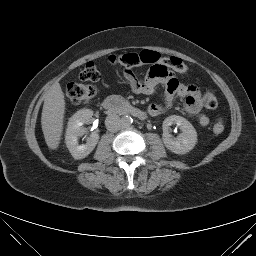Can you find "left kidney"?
<instances>
[{
    "label": "left kidney",
    "instance_id": "obj_1",
    "mask_svg": "<svg viewBox=\"0 0 256 256\" xmlns=\"http://www.w3.org/2000/svg\"><path fill=\"white\" fill-rule=\"evenodd\" d=\"M177 125L182 133L173 138L170 135V126ZM163 142L167 149L175 154H186L191 151L197 142V132L193 125L181 116L172 115L163 121Z\"/></svg>",
    "mask_w": 256,
    "mask_h": 256
}]
</instances>
